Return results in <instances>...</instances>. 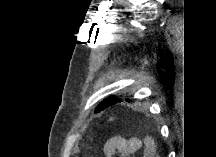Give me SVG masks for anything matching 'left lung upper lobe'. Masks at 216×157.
I'll use <instances>...</instances> for the list:
<instances>
[{"mask_svg": "<svg viewBox=\"0 0 216 157\" xmlns=\"http://www.w3.org/2000/svg\"><path fill=\"white\" fill-rule=\"evenodd\" d=\"M121 101H122L121 99H118V98L115 97V96H111V97H109V98L103 100V101L97 106V108H96L95 111H96V112H100V111L106 109L107 107L112 106V105H114V104H116V103H118V102H121ZM127 101H129V100H127Z\"/></svg>", "mask_w": 216, "mask_h": 157, "instance_id": "5c2ea615", "label": "left lung upper lobe"}]
</instances>
